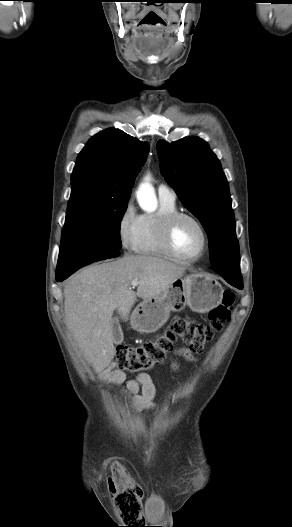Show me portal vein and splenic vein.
<instances>
[{
	"label": "portal vein and splenic vein",
	"mask_w": 292,
	"mask_h": 527,
	"mask_svg": "<svg viewBox=\"0 0 292 527\" xmlns=\"http://www.w3.org/2000/svg\"><path fill=\"white\" fill-rule=\"evenodd\" d=\"M138 284H139V281H138V280H133V281L131 282L132 287H136Z\"/></svg>",
	"instance_id": "1"
}]
</instances>
